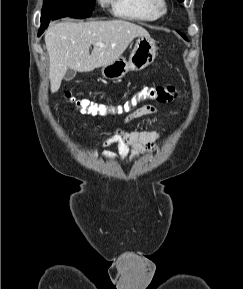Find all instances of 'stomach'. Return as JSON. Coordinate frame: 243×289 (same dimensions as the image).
<instances>
[{
    "instance_id": "0dacf381",
    "label": "stomach",
    "mask_w": 243,
    "mask_h": 289,
    "mask_svg": "<svg viewBox=\"0 0 243 289\" xmlns=\"http://www.w3.org/2000/svg\"><path fill=\"white\" fill-rule=\"evenodd\" d=\"M156 51V42L149 34L138 36L129 59L119 57L103 66L102 75L104 78L116 80L124 77L129 71L142 70L153 63Z\"/></svg>"
}]
</instances>
